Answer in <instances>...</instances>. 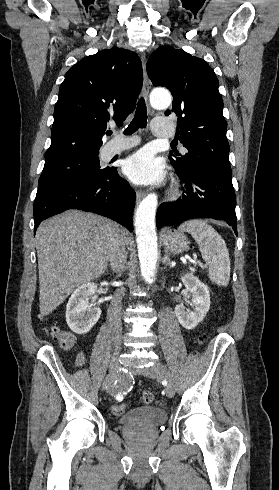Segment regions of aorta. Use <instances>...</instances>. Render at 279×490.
Listing matches in <instances>:
<instances>
[{"instance_id":"762f6f07","label":"aorta","mask_w":279,"mask_h":490,"mask_svg":"<svg viewBox=\"0 0 279 490\" xmlns=\"http://www.w3.org/2000/svg\"><path fill=\"white\" fill-rule=\"evenodd\" d=\"M150 102L156 109H165L170 106L172 98L168 91L154 90L150 95ZM157 205V195L149 194L139 204L134 222L141 274L148 283L153 282L158 259L155 229Z\"/></svg>"}]
</instances>
